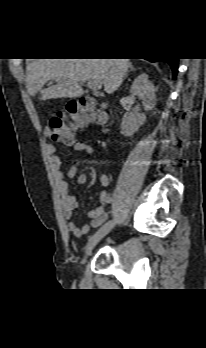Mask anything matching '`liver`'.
<instances>
[{
  "mask_svg": "<svg viewBox=\"0 0 206 348\" xmlns=\"http://www.w3.org/2000/svg\"><path fill=\"white\" fill-rule=\"evenodd\" d=\"M130 65L129 59H33L27 65L26 87L31 96L40 92V100L76 98L83 94V83L100 80L105 92L112 94ZM49 80L56 84L42 89Z\"/></svg>",
  "mask_w": 206,
  "mask_h": 348,
  "instance_id": "6515ba94",
  "label": "liver"
}]
</instances>
